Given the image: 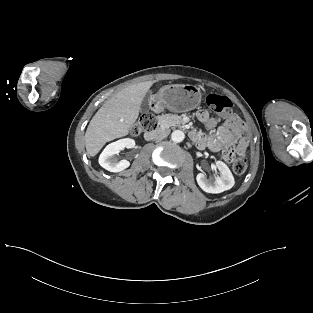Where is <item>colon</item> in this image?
I'll return each mask as SVG.
<instances>
[{"label":"colon","mask_w":313,"mask_h":313,"mask_svg":"<svg viewBox=\"0 0 313 313\" xmlns=\"http://www.w3.org/2000/svg\"><path fill=\"white\" fill-rule=\"evenodd\" d=\"M206 103L211 110L223 116L227 115L232 108L231 101L227 97L218 94L208 95ZM156 127V115L153 112H144L134 124L132 133L134 135H139L141 133L153 131ZM223 158L228 162H232V169L236 174L241 175L246 171L247 159L244 156L236 157L231 149H225L223 151Z\"/></svg>","instance_id":"colon-1"}]
</instances>
